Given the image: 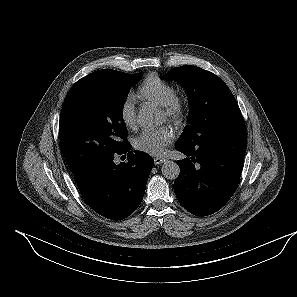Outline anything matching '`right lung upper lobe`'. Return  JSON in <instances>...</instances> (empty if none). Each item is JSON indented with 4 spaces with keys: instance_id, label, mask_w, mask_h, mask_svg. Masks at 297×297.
Masks as SVG:
<instances>
[{
    "instance_id": "cb5924a9",
    "label": "right lung upper lobe",
    "mask_w": 297,
    "mask_h": 297,
    "mask_svg": "<svg viewBox=\"0 0 297 297\" xmlns=\"http://www.w3.org/2000/svg\"><path fill=\"white\" fill-rule=\"evenodd\" d=\"M116 70H111V69H103V70H98L93 73H90L89 75L83 77L82 79L78 80L77 83L84 82L87 80H92V79H103L108 77L111 73H113Z\"/></svg>"
}]
</instances>
